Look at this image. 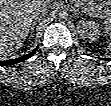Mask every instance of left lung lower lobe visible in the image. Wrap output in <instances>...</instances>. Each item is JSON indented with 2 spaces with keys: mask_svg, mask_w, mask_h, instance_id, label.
<instances>
[{
  "mask_svg": "<svg viewBox=\"0 0 111 106\" xmlns=\"http://www.w3.org/2000/svg\"><path fill=\"white\" fill-rule=\"evenodd\" d=\"M104 60H111V58H105Z\"/></svg>",
  "mask_w": 111,
  "mask_h": 106,
  "instance_id": "obj_1",
  "label": "left lung lower lobe"
}]
</instances>
